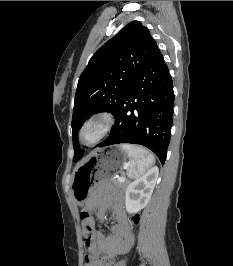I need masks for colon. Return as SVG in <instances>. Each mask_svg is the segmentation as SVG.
<instances>
[{"mask_svg": "<svg viewBox=\"0 0 233 266\" xmlns=\"http://www.w3.org/2000/svg\"><path fill=\"white\" fill-rule=\"evenodd\" d=\"M80 219L83 224H85L87 227L89 226V222L91 220V215L87 211H82L80 213ZM138 221L137 217L132 218V222L136 223Z\"/></svg>", "mask_w": 233, "mask_h": 266, "instance_id": "1", "label": "colon"}]
</instances>
